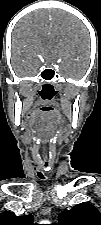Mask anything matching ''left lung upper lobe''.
Masks as SVG:
<instances>
[{
	"mask_svg": "<svg viewBox=\"0 0 101 225\" xmlns=\"http://www.w3.org/2000/svg\"><path fill=\"white\" fill-rule=\"evenodd\" d=\"M56 225H101V214L89 203H80L58 216Z\"/></svg>",
	"mask_w": 101,
	"mask_h": 225,
	"instance_id": "left-lung-upper-lobe-1",
	"label": "left lung upper lobe"
}]
</instances>
